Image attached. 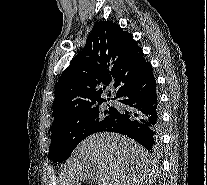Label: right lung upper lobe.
<instances>
[{
	"mask_svg": "<svg viewBox=\"0 0 207 185\" xmlns=\"http://www.w3.org/2000/svg\"><path fill=\"white\" fill-rule=\"evenodd\" d=\"M150 74L152 67L133 36L111 21L98 22L56 84L51 128L106 102L101 94L110 83L118 91Z\"/></svg>",
	"mask_w": 207,
	"mask_h": 185,
	"instance_id": "obj_1",
	"label": "right lung upper lobe"
}]
</instances>
